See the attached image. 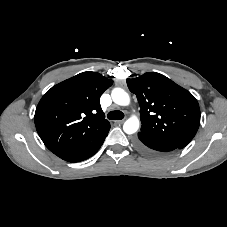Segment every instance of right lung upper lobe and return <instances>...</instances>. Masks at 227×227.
<instances>
[{"mask_svg":"<svg viewBox=\"0 0 227 227\" xmlns=\"http://www.w3.org/2000/svg\"><path fill=\"white\" fill-rule=\"evenodd\" d=\"M113 81L97 72H83L48 90L34 116L45 146L60 158L86 151L110 129L100 97Z\"/></svg>","mask_w":227,"mask_h":227,"instance_id":"1","label":"right lung upper lobe"}]
</instances>
